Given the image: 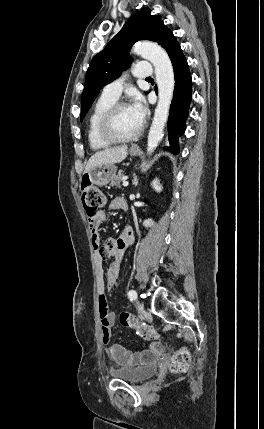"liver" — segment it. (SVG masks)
Segmentation results:
<instances>
[{
  "label": "liver",
  "mask_w": 264,
  "mask_h": 429,
  "mask_svg": "<svg viewBox=\"0 0 264 429\" xmlns=\"http://www.w3.org/2000/svg\"><path fill=\"white\" fill-rule=\"evenodd\" d=\"M127 149L128 147L123 145L96 152L88 160L84 173L89 172L92 168L98 165L122 162L127 156Z\"/></svg>",
  "instance_id": "liver-1"
}]
</instances>
